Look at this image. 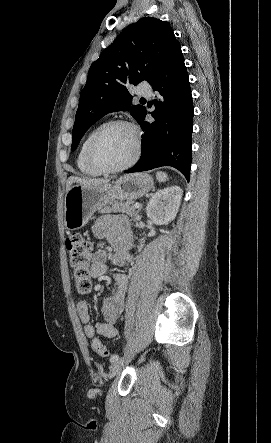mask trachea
<instances>
[{
  "label": "trachea",
  "mask_w": 271,
  "mask_h": 443,
  "mask_svg": "<svg viewBox=\"0 0 271 443\" xmlns=\"http://www.w3.org/2000/svg\"><path fill=\"white\" fill-rule=\"evenodd\" d=\"M140 101H146L145 98H141Z\"/></svg>",
  "instance_id": "obj_1"
}]
</instances>
